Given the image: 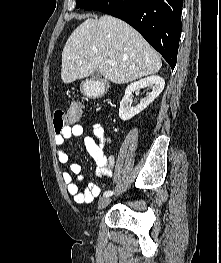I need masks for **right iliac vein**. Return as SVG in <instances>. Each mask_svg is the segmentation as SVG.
Wrapping results in <instances>:
<instances>
[{"label": "right iliac vein", "mask_w": 221, "mask_h": 263, "mask_svg": "<svg viewBox=\"0 0 221 263\" xmlns=\"http://www.w3.org/2000/svg\"><path fill=\"white\" fill-rule=\"evenodd\" d=\"M111 202V198L109 197H103L99 200L98 202V209L102 210L104 209L106 206L109 205V203Z\"/></svg>", "instance_id": "63e3f726"}]
</instances>
